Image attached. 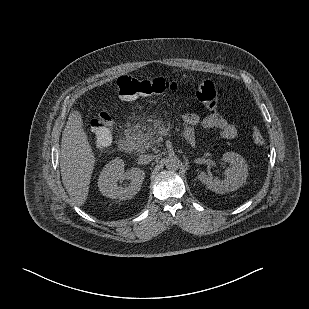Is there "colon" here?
Segmentation results:
<instances>
[{
  "instance_id": "obj_1",
  "label": "colon",
  "mask_w": 309,
  "mask_h": 309,
  "mask_svg": "<svg viewBox=\"0 0 309 309\" xmlns=\"http://www.w3.org/2000/svg\"><path fill=\"white\" fill-rule=\"evenodd\" d=\"M117 88L121 100L130 102L153 94L177 91L178 86L163 78L138 80L124 76L118 79ZM195 97L210 113L217 111L218 93L212 81L200 82L195 89ZM90 129L99 145L108 146L112 140L113 131V119L110 113L104 111L94 116L90 121ZM250 134L255 145H264V137L258 127L252 126Z\"/></svg>"
}]
</instances>
